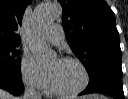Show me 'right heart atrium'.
I'll list each match as a JSON object with an SVG mask.
<instances>
[{"instance_id":"d8ad5b80","label":"right heart atrium","mask_w":128,"mask_h":99,"mask_svg":"<svg viewBox=\"0 0 128 99\" xmlns=\"http://www.w3.org/2000/svg\"><path fill=\"white\" fill-rule=\"evenodd\" d=\"M20 73L23 84L31 90L44 89L48 84L47 73L28 54L21 59Z\"/></svg>"}]
</instances>
